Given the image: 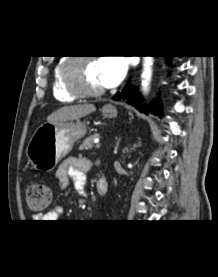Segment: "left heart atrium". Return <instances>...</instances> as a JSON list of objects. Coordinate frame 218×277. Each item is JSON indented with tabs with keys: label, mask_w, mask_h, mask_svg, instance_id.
<instances>
[{
	"label": "left heart atrium",
	"mask_w": 218,
	"mask_h": 277,
	"mask_svg": "<svg viewBox=\"0 0 218 277\" xmlns=\"http://www.w3.org/2000/svg\"><path fill=\"white\" fill-rule=\"evenodd\" d=\"M100 80L103 87L118 85L127 71V62L122 57H104L98 62Z\"/></svg>",
	"instance_id": "39dd6f15"
}]
</instances>
